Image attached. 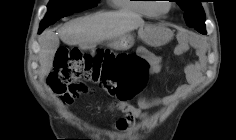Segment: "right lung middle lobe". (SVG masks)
Segmentation results:
<instances>
[{
  "mask_svg": "<svg viewBox=\"0 0 236 140\" xmlns=\"http://www.w3.org/2000/svg\"><path fill=\"white\" fill-rule=\"evenodd\" d=\"M98 2L99 0H51L48 4V13L39 29H45L65 16L92 8Z\"/></svg>",
  "mask_w": 236,
  "mask_h": 140,
  "instance_id": "right-lung-middle-lobe-1",
  "label": "right lung middle lobe"
}]
</instances>
